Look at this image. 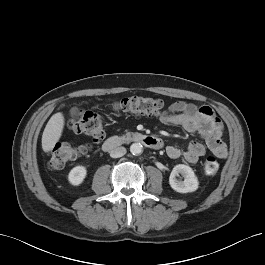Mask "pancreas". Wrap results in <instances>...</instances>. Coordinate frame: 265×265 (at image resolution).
I'll use <instances>...</instances> for the list:
<instances>
[{"instance_id": "1", "label": "pancreas", "mask_w": 265, "mask_h": 265, "mask_svg": "<svg viewBox=\"0 0 265 265\" xmlns=\"http://www.w3.org/2000/svg\"><path fill=\"white\" fill-rule=\"evenodd\" d=\"M131 135H133V133H131V132H127L126 134H124V135H122L121 137L122 138H125V137H130Z\"/></svg>"}]
</instances>
